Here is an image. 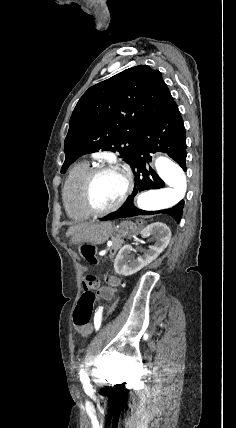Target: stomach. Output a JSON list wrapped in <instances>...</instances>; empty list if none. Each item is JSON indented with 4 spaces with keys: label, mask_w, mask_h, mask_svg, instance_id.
<instances>
[{
    "label": "stomach",
    "mask_w": 236,
    "mask_h": 428,
    "mask_svg": "<svg viewBox=\"0 0 236 428\" xmlns=\"http://www.w3.org/2000/svg\"><path fill=\"white\" fill-rule=\"evenodd\" d=\"M113 228L110 222H89L81 230L80 234L73 236L72 242L74 244H83V242H90V244H104L110 236H112Z\"/></svg>",
    "instance_id": "stomach-1"
}]
</instances>
